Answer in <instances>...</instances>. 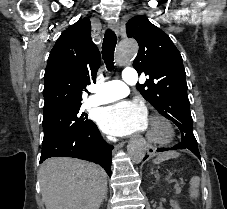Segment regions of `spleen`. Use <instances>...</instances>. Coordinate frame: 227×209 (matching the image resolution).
<instances>
[{
	"instance_id": "obj_1",
	"label": "spleen",
	"mask_w": 227,
	"mask_h": 209,
	"mask_svg": "<svg viewBox=\"0 0 227 209\" xmlns=\"http://www.w3.org/2000/svg\"><path fill=\"white\" fill-rule=\"evenodd\" d=\"M177 157H180V153H176V151H167V153H160V155L154 159V163L155 165H159V163H163V161H168V159H177ZM189 185V197H191V199H198L200 185L199 177H192Z\"/></svg>"
}]
</instances>
